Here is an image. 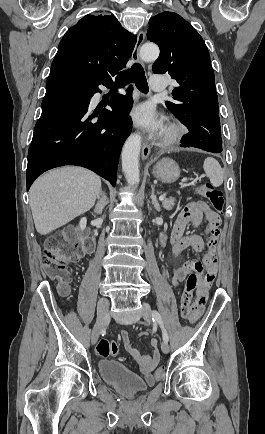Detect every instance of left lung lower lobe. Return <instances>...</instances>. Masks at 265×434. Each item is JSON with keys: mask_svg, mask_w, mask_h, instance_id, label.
<instances>
[{"mask_svg": "<svg viewBox=\"0 0 265 434\" xmlns=\"http://www.w3.org/2000/svg\"><path fill=\"white\" fill-rule=\"evenodd\" d=\"M181 143H183L182 147H194L212 153L222 152L221 134L189 130V133L183 136Z\"/></svg>", "mask_w": 265, "mask_h": 434, "instance_id": "left-lung-lower-lobe-1", "label": "left lung lower lobe"}]
</instances>
